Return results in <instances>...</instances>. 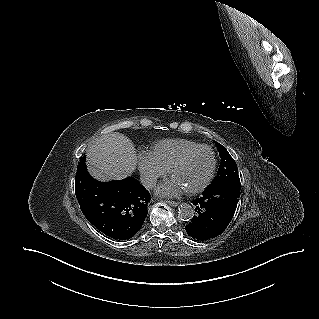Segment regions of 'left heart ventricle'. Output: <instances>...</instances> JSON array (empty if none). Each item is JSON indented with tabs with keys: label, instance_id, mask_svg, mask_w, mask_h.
Wrapping results in <instances>:
<instances>
[{
	"label": "left heart ventricle",
	"instance_id": "1",
	"mask_svg": "<svg viewBox=\"0 0 319 319\" xmlns=\"http://www.w3.org/2000/svg\"><path fill=\"white\" fill-rule=\"evenodd\" d=\"M212 164L211 153L202 149L191 155L172 176L184 190L199 186L207 177Z\"/></svg>",
	"mask_w": 319,
	"mask_h": 319
}]
</instances>
